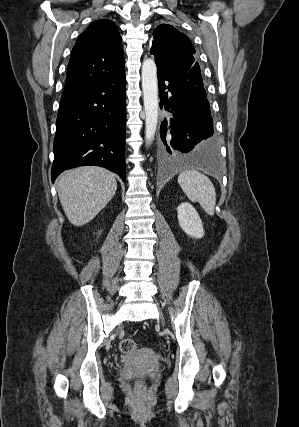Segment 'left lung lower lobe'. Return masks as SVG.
Here are the masks:
<instances>
[{
	"instance_id": "left-lung-lower-lobe-1",
	"label": "left lung lower lobe",
	"mask_w": 299,
	"mask_h": 427,
	"mask_svg": "<svg viewBox=\"0 0 299 427\" xmlns=\"http://www.w3.org/2000/svg\"><path fill=\"white\" fill-rule=\"evenodd\" d=\"M154 57L160 88L159 105L170 114L160 126L162 160L181 161L205 171H216L219 168L218 144L206 91L187 78L193 57Z\"/></svg>"
}]
</instances>
